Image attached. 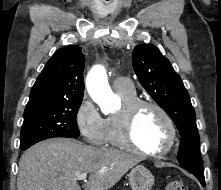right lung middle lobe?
I'll return each instance as SVG.
<instances>
[{"mask_svg":"<svg viewBox=\"0 0 221 190\" xmlns=\"http://www.w3.org/2000/svg\"><path fill=\"white\" fill-rule=\"evenodd\" d=\"M80 105L81 101L27 105L21 130V149L48 138L78 137L80 132L76 117Z\"/></svg>","mask_w":221,"mask_h":190,"instance_id":"right-lung-middle-lobe-1","label":"right lung middle lobe"}]
</instances>
